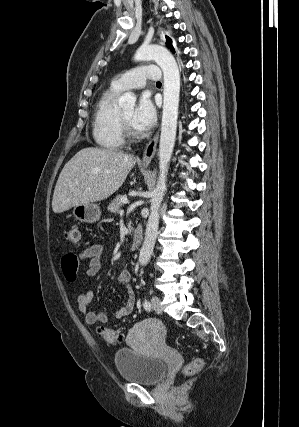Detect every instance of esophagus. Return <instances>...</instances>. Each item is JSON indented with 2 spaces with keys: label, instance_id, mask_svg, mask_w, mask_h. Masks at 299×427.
Masks as SVG:
<instances>
[{
  "label": "esophagus",
  "instance_id": "1",
  "mask_svg": "<svg viewBox=\"0 0 299 427\" xmlns=\"http://www.w3.org/2000/svg\"><path fill=\"white\" fill-rule=\"evenodd\" d=\"M159 138V132H157L154 137L149 141V143L146 145L143 158H142V164L143 165H149L152 158L155 155L157 143Z\"/></svg>",
  "mask_w": 299,
  "mask_h": 427
}]
</instances>
